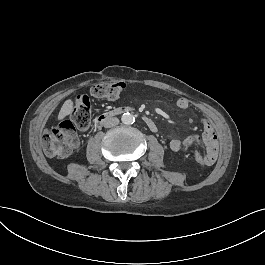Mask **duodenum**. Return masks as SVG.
Segmentation results:
<instances>
[{"label": "duodenum", "instance_id": "duodenum-1", "mask_svg": "<svg viewBox=\"0 0 265 265\" xmlns=\"http://www.w3.org/2000/svg\"><path fill=\"white\" fill-rule=\"evenodd\" d=\"M129 109L127 107H117L113 110H109L106 112H103L101 114H99L96 118V124L98 126H101L105 121H107L110 118L115 117L116 115H120L123 114L125 112H127ZM142 121L146 124V126L156 132L157 131V124L154 122V120L147 116V115H142Z\"/></svg>", "mask_w": 265, "mask_h": 265}]
</instances>
